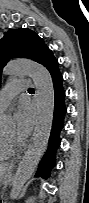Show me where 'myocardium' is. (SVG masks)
<instances>
[{
	"mask_svg": "<svg viewBox=\"0 0 89 203\" xmlns=\"http://www.w3.org/2000/svg\"><path fill=\"white\" fill-rule=\"evenodd\" d=\"M1 138L3 141L4 147L9 154H15L21 150L22 145L19 144L18 142L6 139L3 136V134H1Z\"/></svg>",
	"mask_w": 89,
	"mask_h": 203,
	"instance_id": "1",
	"label": "myocardium"
}]
</instances>
